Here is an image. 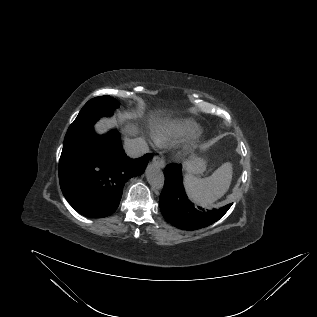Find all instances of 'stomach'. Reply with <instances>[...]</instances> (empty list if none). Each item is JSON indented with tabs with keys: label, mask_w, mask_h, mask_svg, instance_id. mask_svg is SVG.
<instances>
[{
	"label": "stomach",
	"mask_w": 317,
	"mask_h": 317,
	"mask_svg": "<svg viewBox=\"0 0 317 317\" xmlns=\"http://www.w3.org/2000/svg\"><path fill=\"white\" fill-rule=\"evenodd\" d=\"M184 168L189 174H202L206 169V161L194 156L184 163Z\"/></svg>",
	"instance_id": "1"
}]
</instances>
